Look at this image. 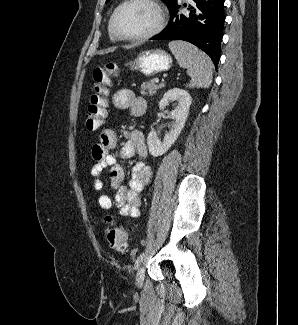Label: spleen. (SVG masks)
I'll return each mask as SVG.
<instances>
[{
    "instance_id": "obj_1",
    "label": "spleen",
    "mask_w": 298,
    "mask_h": 325,
    "mask_svg": "<svg viewBox=\"0 0 298 325\" xmlns=\"http://www.w3.org/2000/svg\"><path fill=\"white\" fill-rule=\"evenodd\" d=\"M179 66L187 68L191 80L188 88H209L213 78V64L210 56L197 46L185 40H171L168 44Z\"/></svg>"
}]
</instances>
